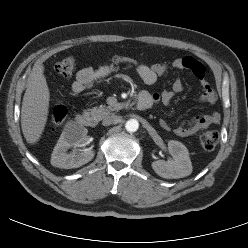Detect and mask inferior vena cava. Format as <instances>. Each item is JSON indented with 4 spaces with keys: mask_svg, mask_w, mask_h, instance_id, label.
<instances>
[{
    "mask_svg": "<svg viewBox=\"0 0 248 248\" xmlns=\"http://www.w3.org/2000/svg\"><path fill=\"white\" fill-rule=\"evenodd\" d=\"M120 119L119 116L117 115H111V116H106L103 121H102V124L104 126H108V125H111L113 123H115L116 121H118Z\"/></svg>",
    "mask_w": 248,
    "mask_h": 248,
    "instance_id": "inferior-vena-cava-1",
    "label": "inferior vena cava"
}]
</instances>
